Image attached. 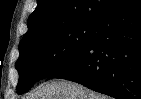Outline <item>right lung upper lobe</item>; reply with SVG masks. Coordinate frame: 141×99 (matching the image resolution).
Listing matches in <instances>:
<instances>
[{
	"instance_id": "right-lung-upper-lobe-1",
	"label": "right lung upper lobe",
	"mask_w": 141,
	"mask_h": 99,
	"mask_svg": "<svg viewBox=\"0 0 141 99\" xmlns=\"http://www.w3.org/2000/svg\"><path fill=\"white\" fill-rule=\"evenodd\" d=\"M127 0H37L20 43L80 21H99Z\"/></svg>"
}]
</instances>
